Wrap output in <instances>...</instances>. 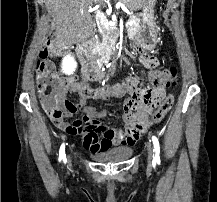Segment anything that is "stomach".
<instances>
[{
    "label": "stomach",
    "instance_id": "0dacf381",
    "mask_svg": "<svg viewBox=\"0 0 217 202\" xmlns=\"http://www.w3.org/2000/svg\"><path fill=\"white\" fill-rule=\"evenodd\" d=\"M157 0H148L142 8L141 28L135 34V42L143 50H155L158 40V30L155 22V6Z\"/></svg>",
    "mask_w": 217,
    "mask_h": 202
}]
</instances>
